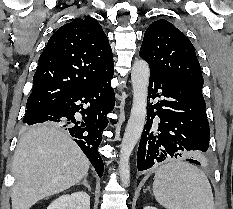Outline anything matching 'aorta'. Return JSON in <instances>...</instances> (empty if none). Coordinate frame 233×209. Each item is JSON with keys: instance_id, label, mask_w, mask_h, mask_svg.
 Listing matches in <instances>:
<instances>
[{"instance_id": "762f6f07", "label": "aorta", "mask_w": 233, "mask_h": 209, "mask_svg": "<svg viewBox=\"0 0 233 209\" xmlns=\"http://www.w3.org/2000/svg\"><path fill=\"white\" fill-rule=\"evenodd\" d=\"M150 71L144 60L134 62L131 71L133 103L130 117L121 142L119 173L123 186L130 182V155L141 137L147 115V93Z\"/></svg>"}]
</instances>
